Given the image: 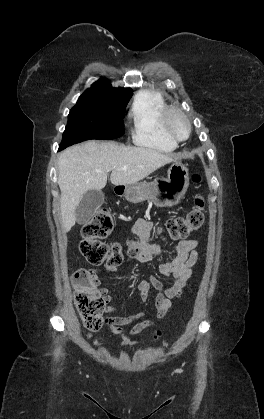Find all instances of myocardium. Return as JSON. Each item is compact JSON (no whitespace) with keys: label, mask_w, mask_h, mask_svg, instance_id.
Instances as JSON below:
<instances>
[{"label":"myocardium","mask_w":264,"mask_h":419,"mask_svg":"<svg viewBox=\"0 0 264 419\" xmlns=\"http://www.w3.org/2000/svg\"><path fill=\"white\" fill-rule=\"evenodd\" d=\"M174 116L181 118L186 124L187 134L183 138L178 137L172 130L171 119ZM162 128L166 136L175 143H179V142H183L187 140L191 134V123L187 115L182 110H180L178 107H175V106H167V108L165 109L162 116Z\"/></svg>","instance_id":"1"}]
</instances>
